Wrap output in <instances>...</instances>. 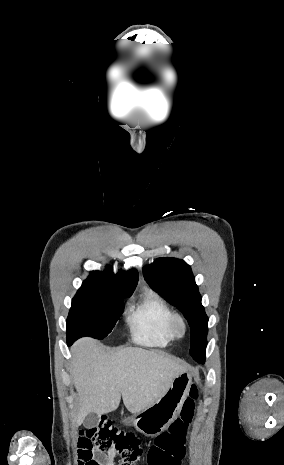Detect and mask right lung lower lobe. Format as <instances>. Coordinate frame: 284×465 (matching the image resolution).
<instances>
[{"instance_id": "1", "label": "right lung lower lobe", "mask_w": 284, "mask_h": 465, "mask_svg": "<svg viewBox=\"0 0 284 465\" xmlns=\"http://www.w3.org/2000/svg\"><path fill=\"white\" fill-rule=\"evenodd\" d=\"M73 342H74V341H71V340H68V339H67V344H68V346L72 345Z\"/></svg>"}]
</instances>
